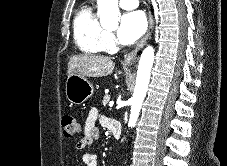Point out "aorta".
<instances>
[{
  "instance_id": "1",
  "label": "aorta",
  "mask_w": 227,
  "mask_h": 166,
  "mask_svg": "<svg viewBox=\"0 0 227 166\" xmlns=\"http://www.w3.org/2000/svg\"><path fill=\"white\" fill-rule=\"evenodd\" d=\"M100 23L105 26H117L119 21L118 0H97ZM154 62V49L148 46L140 57L136 85L131 98L129 125L134 127L138 119L142 103L147 93L151 68Z\"/></svg>"
}]
</instances>
